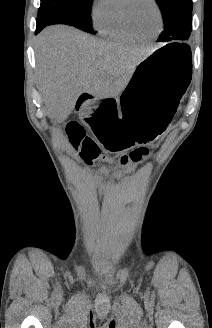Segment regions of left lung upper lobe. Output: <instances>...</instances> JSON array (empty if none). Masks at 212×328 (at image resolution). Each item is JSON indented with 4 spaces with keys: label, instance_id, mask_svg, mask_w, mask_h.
<instances>
[{
    "label": "left lung upper lobe",
    "instance_id": "left-lung-upper-lobe-1",
    "mask_svg": "<svg viewBox=\"0 0 212 328\" xmlns=\"http://www.w3.org/2000/svg\"><path fill=\"white\" fill-rule=\"evenodd\" d=\"M164 20L165 30L159 42L186 40L192 30V0H156Z\"/></svg>",
    "mask_w": 212,
    "mask_h": 328
}]
</instances>
